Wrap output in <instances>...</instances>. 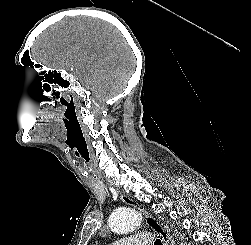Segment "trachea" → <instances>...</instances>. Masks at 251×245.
<instances>
[{
	"instance_id": "1",
	"label": "trachea",
	"mask_w": 251,
	"mask_h": 245,
	"mask_svg": "<svg viewBox=\"0 0 251 245\" xmlns=\"http://www.w3.org/2000/svg\"><path fill=\"white\" fill-rule=\"evenodd\" d=\"M154 245H162L161 240H160V239H157V240L155 241Z\"/></svg>"
}]
</instances>
